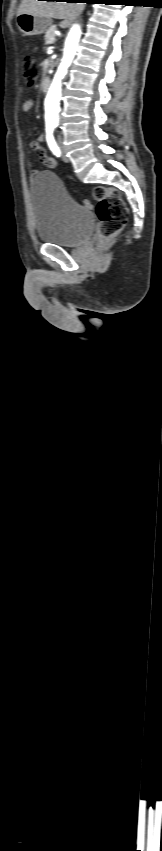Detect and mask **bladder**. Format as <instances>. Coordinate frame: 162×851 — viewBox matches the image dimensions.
Segmentation results:
<instances>
[{"label": "bladder", "instance_id": "bladder-1", "mask_svg": "<svg viewBox=\"0 0 162 851\" xmlns=\"http://www.w3.org/2000/svg\"><path fill=\"white\" fill-rule=\"evenodd\" d=\"M30 192L36 234L41 241L75 247L91 236L95 226L94 214L68 194L56 174H37L31 182Z\"/></svg>", "mask_w": 162, "mask_h": 851}]
</instances>
